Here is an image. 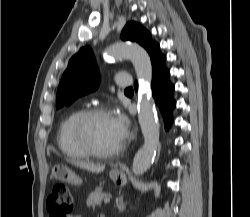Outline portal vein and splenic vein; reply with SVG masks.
Segmentation results:
<instances>
[{
  "label": "portal vein and splenic vein",
  "mask_w": 250,
  "mask_h": 217,
  "mask_svg": "<svg viewBox=\"0 0 250 217\" xmlns=\"http://www.w3.org/2000/svg\"><path fill=\"white\" fill-rule=\"evenodd\" d=\"M109 202H110V197H107V198L104 199L105 204H108Z\"/></svg>",
  "instance_id": "portal-vein-and-splenic-vein-1"
}]
</instances>
